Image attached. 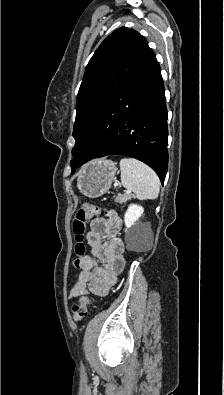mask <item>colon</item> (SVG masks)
<instances>
[{"label":"colon","instance_id":"colon-1","mask_svg":"<svg viewBox=\"0 0 224 395\" xmlns=\"http://www.w3.org/2000/svg\"><path fill=\"white\" fill-rule=\"evenodd\" d=\"M100 214L99 207L85 203L83 204L76 212L75 219L72 224L73 233L76 240L75 252L77 256H83L85 253V245L83 243L84 233L86 230L87 221L95 216ZM74 266L80 267V260L76 259L74 261ZM92 304V300L89 296L81 295L79 297V301L76 305L73 306L72 316L73 319L77 322H80L87 318L89 307Z\"/></svg>","mask_w":224,"mask_h":395}]
</instances>
